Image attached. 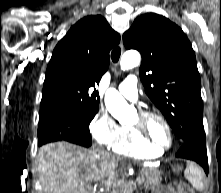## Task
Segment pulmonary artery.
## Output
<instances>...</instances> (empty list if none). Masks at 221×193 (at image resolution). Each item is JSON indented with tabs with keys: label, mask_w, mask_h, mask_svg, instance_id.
<instances>
[{
	"label": "pulmonary artery",
	"mask_w": 221,
	"mask_h": 193,
	"mask_svg": "<svg viewBox=\"0 0 221 193\" xmlns=\"http://www.w3.org/2000/svg\"><path fill=\"white\" fill-rule=\"evenodd\" d=\"M119 92L129 100L138 98L137 78L134 74L128 75L118 86Z\"/></svg>",
	"instance_id": "e3ab8cb5"
}]
</instances>
